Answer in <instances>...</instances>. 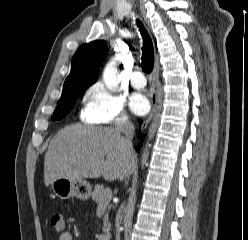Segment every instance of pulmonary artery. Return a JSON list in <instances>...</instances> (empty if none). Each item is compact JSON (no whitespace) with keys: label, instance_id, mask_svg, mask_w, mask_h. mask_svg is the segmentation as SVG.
I'll list each match as a JSON object with an SVG mask.
<instances>
[{"label":"pulmonary artery","instance_id":"e3ab8cb5","mask_svg":"<svg viewBox=\"0 0 248 240\" xmlns=\"http://www.w3.org/2000/svg\"><path fill=\"white\" fill-rule=\"evenodd\" d=\"M131 84L134 88H143L146 84L145 76L141 71H133L130 76Z\"/></svg>","mask_w":248,"mask_h":240}]
</instances>
